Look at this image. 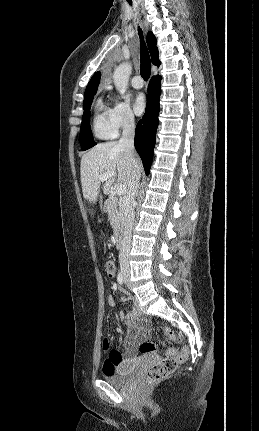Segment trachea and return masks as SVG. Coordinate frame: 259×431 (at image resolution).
Wrapping results in <instances>:
<instances>
[{
	"instance_id": "1",
	"label": "trachea",
	"mask_w": 259,
	"mask_h": 431,
	"mask_svg": "<svg viewBox=\"0 0 259 431\" xmlns=\"http://www.w3.org/2000/svg\"><path fill=\"white\" fill-rule=\"evenodd\" d=\"M129 4H131V1L129 0ZM139 35H140V41H141V52H140V73L144 80H147L150 77L151 74V61L150 56L147 50V47L144 43L142 31L139 29Z\"/></svg>"
}]
</instances>
